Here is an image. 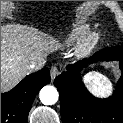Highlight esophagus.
<instances>
[{"instance_id":"1","label":"esophagus","mask_w":123,"mask_h":123,"mask_svg":"<svg viewBox=\"0 0 123 123\" xmlns=\"http://www.w3.org/2000/svg\"><path fill=\"white\" fill-rule=\"evenodd\" d=\"M59 75V70L56 66H53L50 70L51 79L54 80Z\"/></svg>"}]
</instances>
